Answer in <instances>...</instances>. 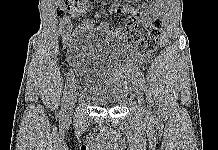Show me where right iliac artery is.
I'll return each mask as SVG.
<instances>
[{"mask_svg": "<svg viewBox=\"0 0 218 150\" xmlns=\"http://www.w3.org/2000/svg\"><path fill=\"white\" fill-rule=\"evenodd\" d=\"M73 83H74V77H73L72 72L70 71L68 73L65 88H64V91H63L62 107H61V110H60V114H61L62 117L65 116V110H66L67 101H68V94H69V92L71 90V87H72Z\"/></svg>", "mask_w": 218, "mask_h": 150, "instance_id": "right-iliac-artery-1", "label": "right iliac artery"}]
</instances>
